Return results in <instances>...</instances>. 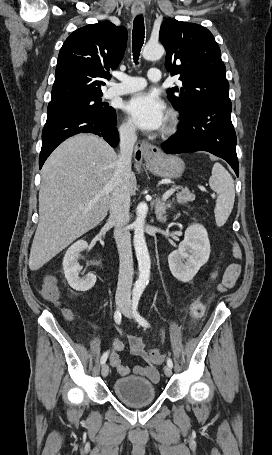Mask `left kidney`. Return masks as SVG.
I'll return each instance as SVG.
<instances>
[{"label": "left kidney", "instance_id": "left-kidney-1", "mask_svg": "<svg viewBox=\"0 0 272 455\" xmlns=\"http://www.w3.org/2000/svg\"><path fill=\"white\" fill-rule=\"evenodd\" d=\"M210 242L204 226L191 224L185 231L184 240L178 250L168 256L172 275L187 283L193 279L199 269L207 263L210 256Z\"/></svg>", "mask_w": 272, "mask_h": 455}]
</instances>
